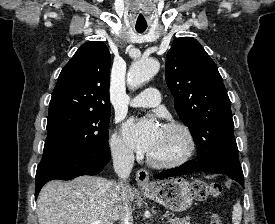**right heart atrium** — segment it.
<instances>
[{
	"label": "right heart atrium",
	"mask_w": 275,
	"mask_h": 224,
	"mask_svg": "<svg viewBox=\"0 0 275 224\" xmlns=\"http://www.w3.org/2000/svg\"><path fill=\"white\" fill-rule=\"evenodd\" d=\"M112 154L119 159H130L131 151L118 132H114L110 139Z\"/></svg>",
	"instance_id": "right-heart-atrium-1"
}]
</instances>
